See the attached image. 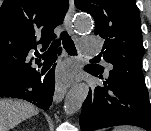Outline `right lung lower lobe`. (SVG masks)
I'll list each match as a JSON object with an SVG mask.
<instances>
[{
    "instance_id": "right-lung-lower-lobe-1",
    "label": "right lung lower lobe",
    "mask_w": 151,
    "mask_h": 131,
    "mask_svg": "<svg viewBox=\"0 0 151 131\" xmlns=\"http://www.w3.org/2000/svg\"><path fill=\"white\" fill-rule=\"evenodd\" d=\"M60 51L61 49L59 53ZM54 70L55 65L43 78L36 72L9 87L0 89V96L24 99L43 110H48L53 101Z\"/></svg>"
}]
</instances>
